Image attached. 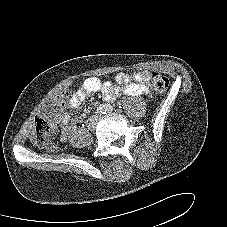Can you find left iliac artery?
Returning <instances> with one entry per match:
<instances>
[{
	"mask_svg": "<svg viewBox=\"0 0 227 227\" xmlns=\"http://www.w3.org/2000/svg\"><path fill=\"white\" fill-rule=\"evenodd\" d=\"M113 111V107L111 105H106V112L111 113Z\"/></svg>",
	"mask_w": 227,
	"mask_h": 227,
	"instance_id": "obj_1",
	"label": "left iliac artery"
}]
</instances>
